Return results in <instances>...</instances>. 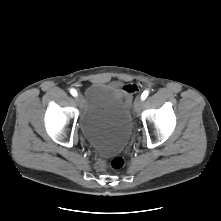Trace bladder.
<instances>
[{
	"mask_svg": "<svg viewBox=\"0 0 221 221\" xmlns=\"http://www.w3.org/2000/svg\"><path fill=\"white\" fill-rule=\"evenodd\" d=\"M82 108L79 128L83 137L101 154L123 151L132 136L134 120L122 94L107 83L93 82L86 89Z\"/></svg>",
	"mask_w": 221,
	"mask_h": 221,
	"instance_id": "obj_1",
	"label": "bladder"
}]
</instances>
